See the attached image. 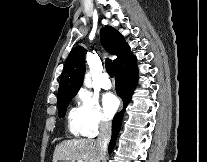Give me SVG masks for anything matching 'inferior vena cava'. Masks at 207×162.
<instances>
[{
    "mask_svg": "<svg viewBox=\"0 0 207 162\" xmlns=\"http://www.w3.org/2000/svg\"><path fill=\"white\" fill-rule=\"evenodd\" d=\"M111 139V123L106 120L100 122V133L96 140L98 145L100 160L104 159L106 156L108 144Z\"/></svg>",
    "mask_w": 207,
    "mask_h": 162,
    "instance_id": "obj_1",
    "label": "inferior vena cava"
}]
</instances>
